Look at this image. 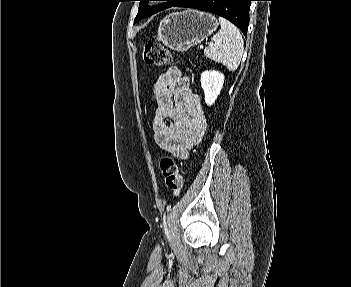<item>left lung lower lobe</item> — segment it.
Masks as SVG:
<instances>
[{
  "instance_id": "1",
  "label": "left lung lower lobe",
  "mask_w": 351,
  "mask_h": 287,
  "mask_svg": "<svg viewBox=\"0 0 351 287\" xmlns=\"http://www.w3.org/2000/svg\"><path fill=\"white\" fill-rule=\"evenodd\" d=\"M254 0H179L172 7L194 8L226 18L247 36L249 9Z\"/></svg>"
}]
</instances>
